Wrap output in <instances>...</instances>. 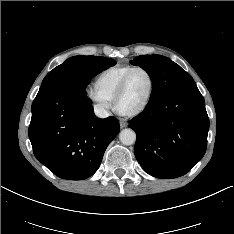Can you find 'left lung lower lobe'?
<instances>
[{
  "instance_id": "0a47b994",
  "label": "left lung lower lobe",
  "mask_w": 234,
  "mask_h": 234,
  "mask_svg": "<svg viewBox=\"0 0 234 234\" xmlns=\"http://www.w3.org/2000/svg\"><path fill=\"white\" fill-rule=\"evenodd\" d=\"M129 122L137 135L136 159L151 176H183L205 154L209 118L194 81L172 89Z\"/></svg>"
}]
</instances>
